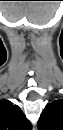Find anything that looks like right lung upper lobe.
I'll return each mask as SVG.
<instances>
[{
	"label": "right lung upper lobe",
	"mask_w": 63,
	"mask_h": 130,
	"mask_svg": "<svg viewBox=\"0 0 63 130\" xmlns=\"http://www.w3.org/2000/svg\"><path fill=\"white\" fill-rule=\"evenodd\" d=\"M1 130H31V123L17 105L8 100L0 101Z\"/></svg>",
	"instance_id": "right-lung-upper-lobe-1"
}]
</instances>
